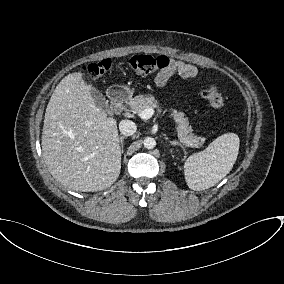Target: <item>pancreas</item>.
Wrapping results in <instances>:
<instances>
[{
	"mask_svg": "<svg viewBox=\"0 0 284 284\" xmlns=\"http://www.w3.org/2000/svg\"><path fill=\"white\" fill-rule=\"evenodd\" d=\"M129 106L133 112L138 114L146 108H156L161 112L158 101L153 95H138L130 100ZM172 116L176 122V130L181 143L187 147L200 148L204 144L205 138L192 133L188 118L185 117L184 113L174 110Z\"/></svg>",
	"mask_w": 284,
	"mask_h": 284,
	"instance_id": "obj_1",
	"label": "pancreas"
}]
</instances>
